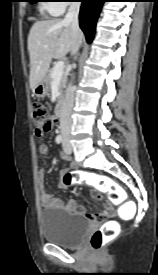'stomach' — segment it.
<instances>
[{
    "instance_id": "stomach-1",
    "label": "stomach",
    "mask_w": 158,
    "mask_h": 275,
    "mask_svg": "<svg viewBox=\"0 0 158 275\" xmlns=\"http://www.w3.org/2000/svg\"><path fill=\"white\" fill-rule=\"evenodd\" d=\"M49 91L48 79L47 76L42 79L38 85L35 87L33 93L36 97L42 98L44 97Z\"/></svg>"
}]
</instances>
